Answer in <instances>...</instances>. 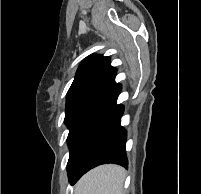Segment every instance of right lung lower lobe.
Masks as SVG:
<instances>
[{"label": "right lung lower lobe", "mask_w": 201, "mask_h": 194, "mask_svg": "<svg viewBox=\"0 0 201 194\" xmlns=\"http://www.w3.org/2000/svg\"><path fill=\"white\" fill-rule=\"evenodd\" d=\"M121 90V84H118L89 102L70 126L67 170L71 184L100 164L128 165L125 151L126 130L120 126L124 107L116 104Z\"/></svg>", "instance_id": "right-lung-lower-lobe-1"}]
</instances>
